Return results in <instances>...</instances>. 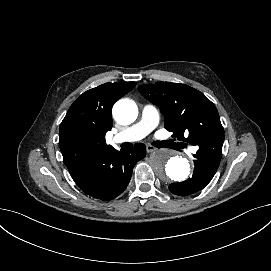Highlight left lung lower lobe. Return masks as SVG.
Wrapping results in <instances>:
<instances>
[{
    "instance_id": "left-lung-lower-lobe-1",
    "label": "left lung lower lobe",
    "mask_w": 271,
    "mask_h": 271,
    "mask_svg": "<svg viewBox=\"0 0 271 271\" xmlns=\"http://www.w3.org/2000/svg\"><path fill=\"white\" fill-rule=\"evenodd\" d=\"M195 171L192 178L169 185V190L179 196H187L202 190L213 178L221 159V154L209 152L199 146L194 155Z\"/></svg>"
}]
</instances>
